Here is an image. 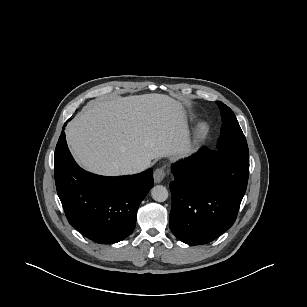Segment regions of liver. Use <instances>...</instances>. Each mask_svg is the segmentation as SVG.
Returning a JSON list of instances; mask_svg holds the SVG:
<instances>
[{
	"label": "liver",
	"instance_id": "1",
	"mask_svg": "<svg viewBox=\"0 0 307 307\" xmlns=\"http://www.w3.org/2000/svg\"><path fill=\"white\" fill-rule=\"evenodd\" d=\"M66 138L86 170L118 176L126 167H149L156 158L183 157L188 126L180 102L144 94L92 100L67 125Z\"/></svg>",
	"mask_w": 307,
	"mask_h": 307
}]
</instances>
